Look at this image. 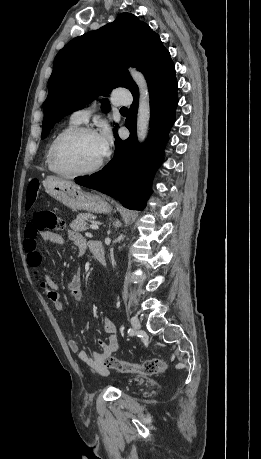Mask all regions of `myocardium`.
<instances>
[{
  "mask_svg": "<svg viewBox=\"0 0 261 459\" xmlns=\"http://www.w3.org/2000/svg\"><path fill=\"white\" fill-rule=\"evenodd\" d=\"M85 134H90V135H97L96 131L90 127H82V126H77L72 129H69L62 133L58 138L55 140L53 143L52 149H51V155H50V161L53 169L55 172L59 175L65 176V177H80V176H87L96 173L101 169V167L104 165L105 160H106V155H104L94 166L84 169V170H79V171H68L63 169L58 161V156H59V151L61 146L69 139H72L74 137L80 136V135H85Z\"/></svg>",
  "mask_w": 261,
  "mask_h": 459,
  "instance_id": "obj_1",
  "label": "myocardium"
}]
</instances>
